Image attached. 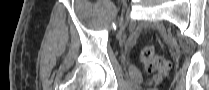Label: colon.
Here are the masks:
<instances>
[{
	"label": "colon",
	"instance_id": "1",
	"mask_svg": "<svg viewBox=\"0 0 209 90\" xmlns=\"http://www.w3.org/2000/svg\"><path fill=\"white\" fill-rule=\"evenodd\" d=\"M140 59L150 74H163L167 70V61L157 53L154 46L144 47L140 52Z\"/></svg>",
	"mask_w": 209,
	"mask_h": 90
}]
</instances>
